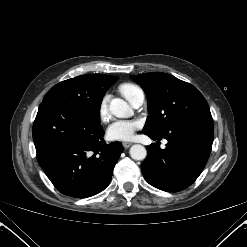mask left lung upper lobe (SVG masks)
<instances>
[{
	"instance_id": "1",
	"label": "left lung upper lobe",
	"mask_w": 247,
	"mask_h": 247,
	"mask_svg": "<svg viewBox=\"0 0 247 247\" xmlns=\"http://www.w3.org/2000/svg\"><path fill=\"white\" fill-rule=\"evenodd\" d=\"M131 78L145 91L151 111L143 133L161 137L189 121L212 118L203 95L187 82L159 72L132 75Z\"/></svg>"
}]
</instances>
